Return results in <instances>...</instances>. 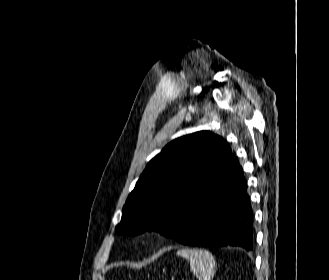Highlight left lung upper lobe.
<instances>
[{
    "instance_id": "1",
    "label": "left lung upper lobe",
    "mask_w": 329,
    "mask_h": 280,
    "mask_svg": "<svg viewBox=\"0 0 329 280\" xmlns=\"http://www.w3.org/2000/svg\"><path fill=\"white\" fill-rule=\"evenodd\" d=\"M234 159L224 139L208 131L172 141L146 166L115 231L136 235L158 230L164 234L178 226L205 194L219 189Z\"/></svg>"
}]
</instances>
